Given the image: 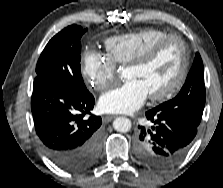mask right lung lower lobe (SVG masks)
Wrapping results in <instances>:
<instances>
[{"mask_svg":"<svg viewBox=\"0 0 223 188\" xmlns=\"http://www.w3.org/2000/svg\"><path fill=\"white\" fill-rule=\"evenodd\" d=\"M95 99L67 89L34 83L31 109L36 133L46 155L69 172L88 168L99 157L101 124L90 114Z\"/></svg>","mask_w":223,"mask_h":188,"instance_id":"1","label":"right lung lower lobe"}]
</instances>
